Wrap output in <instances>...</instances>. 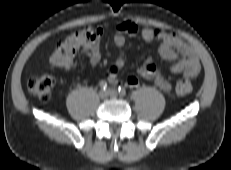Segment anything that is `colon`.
<instances>
[{
    "label": "colon",
    "instance_id": "1",
    "mask_svg": "<svg viewBox=\"0 0 231 170\" xmlns=\"http://www.w3.org/2000/svg\"><path fill=\"white\" fill-rule=\"evenodd\" d=\"M96 31L91 28H84L75 31L54 48L50 56V64L57 69H67L78 50L85 42L94 38ZM55 85V78L51 74H45L37 78L30 79L27 83L28 91L44 102L51 99L52 91ZM192 91V84L186 78H180L176 81L175 92L179 96H185Z\"/></svg>",
    "mask_w": 231,
    "mask_h": 170
}]
</instances>
